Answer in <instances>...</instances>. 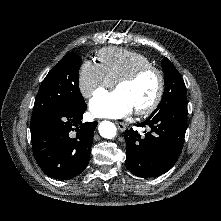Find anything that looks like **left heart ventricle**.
<instances>
[{
    "instance_id": "b2bd125f",
    "label": "left heart ventricle",
    "mask_w": 221,
    "mask_h": 221,
    "mask_svg": "<svg viewBox=\"0 0 221 221\" xmlns=\"http://www.w3.org/2000/svg\"><path fill=\"white\" fill-rule=\"evenodd\" d=\"M118 90L127 96L135 110L144 108L157 94L158 78L155 73L149 72L134 82L120 85Z\"/></svg>"
}]
</instances>
